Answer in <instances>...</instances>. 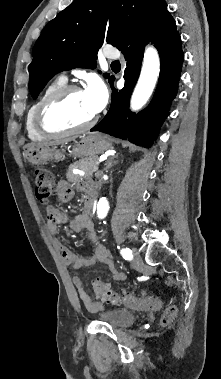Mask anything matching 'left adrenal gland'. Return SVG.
<instances>
[{"label":"left adrenal gland","instance_id":"1","mask_svg":"<svg viewBox=\"0 0 221 379\" xmlns=\"http://www.w3.org/2000/svg\"><path fill=\"white\" fill-rule=\"evenodd\" d=\"M117 157V156H115ZM115 157H110L108 158V160L106 161L105 163V167H104V170H108L109 168H111L114 164H117L118 161H114V158Z\"/></svg>","mask_w":221,"mask_h":379}]
</instances>
